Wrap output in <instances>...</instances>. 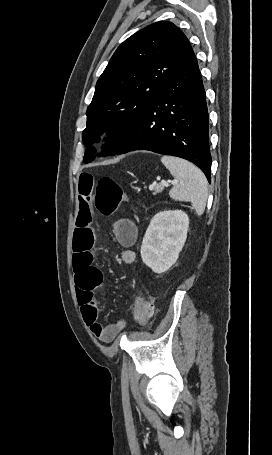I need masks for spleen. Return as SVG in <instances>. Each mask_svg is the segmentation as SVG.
Returning <instances> with one entry per match:
<instances>
[{
    "instance_id": "obj_1",
    "label": "spleen",
    "mask_w": 272,
    "mask_h": 455,
    "mask_svg": "<svg viewBox=\"0 0 272 455\" xmlns=\"http://www.w3.org/2000/svg\"><path fill=\"white\" fill-rule=\"evenodd\" d=\"M161 161L177 180L169 192L170 197L191 202L196 214L201 216L208 197V184L203 172L192 163L177 157L163 156Z\"/></svg>"
}]
</instances>
